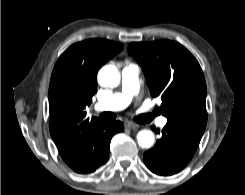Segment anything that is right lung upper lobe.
Wrapping results in <instances>:
<instances>
[{
  "mask_svg": "<svg viewBox=\"0 0 245 195\" xmlns=\"http://www.w3.org/2000/svg\"><path fill=\"white\" fill-rule=\"evenodd\" d=\"M123 49L121 43L90 39L71 45L57 60L49 86L50 134L63 160L81 165L102 121L86 119L85 106L97 91L99 68Z\"/></svg>",
  "mask_w": 245,
  "mask_h": 195,
  "instance_id": "obj_1",
  "label": "right lung upper lobe"
}]
</instances>
